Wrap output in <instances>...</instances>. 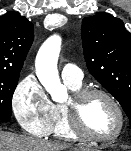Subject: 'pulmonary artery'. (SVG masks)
<instances>
[{
  "label": "pulmonary artery",
  "mask_w": 131,
  "mask_h": 151,
  "mask_svg": "<svg viewBox=\"0 0 131 151\" xmlns=\"http://www.w3.org/2000/svg\"><path fill=\"white\" fill-rule=\"evenodd\" d=\"M61 76L65 82L71 83H81L83 79L81 69L72 63H67L63 66Z\"/></svg>",
  "instance_id": "1"
}]
</instances>
